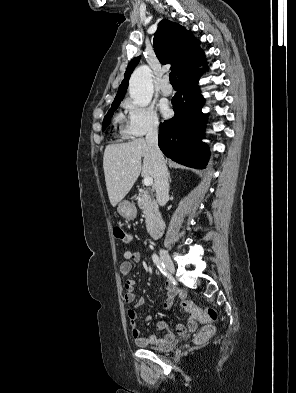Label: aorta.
<instances>
[{"mask_svg": "<svg viewBox=\"0 0 296 393\" xmlns=\"http://www.w3.org/2000/svg\"><path fill=\"white\" fill-rule=\"evenodd\" d=\"M151 70L143 65L135 69L129 80V94L133 102L139 106H147L153 97Z\"/></svg>", "mask_w": 296, "mask_h": 393, "instance_id": "aorta-1", "label": "aorta"}]
</instances>
